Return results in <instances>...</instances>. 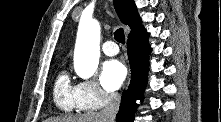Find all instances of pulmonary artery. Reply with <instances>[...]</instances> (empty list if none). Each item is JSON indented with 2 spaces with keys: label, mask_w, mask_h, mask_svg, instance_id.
I'll list each match as a JSON object with an SVG mask.
<instances>
[{
  "label": "pulmonary artery",
  "mask_w": 221,
  "mask_h": 122,
  "mask_svg": "<svg viewBox=\"0 0 221 122\" xmlns=\"http://www.w3.org/2000/svg\"><path fill=\"white\" fill-rule=\"evenodd\" d=\"M103 52L108 56H114L119 52L117 44L113 41H106L102 45Z\"/></svg>",
  "instance_id": "obj_1"
}]
</instances>
